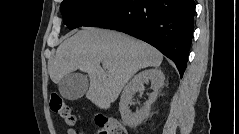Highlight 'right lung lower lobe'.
Wrapping results in <instances>:
<instances>
[{
    "label": "right lung lower lobe",
    "mask_w": 239,
    "mask_h": 134,
    "mask_svg": "<svg viewBox=\"0 0 239 134\" xmlns=\"http://www.w3.org/2000/svg\"><path fill=\"white\" fill-rule=\"evenodd\" d=\"M194 0H116L83 26L118 30L170 58L183 76L194 29Z\"/></svg>",
    "instance_id": "98d812e1"
}]
</instances>
